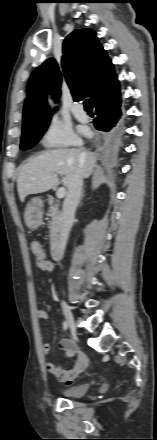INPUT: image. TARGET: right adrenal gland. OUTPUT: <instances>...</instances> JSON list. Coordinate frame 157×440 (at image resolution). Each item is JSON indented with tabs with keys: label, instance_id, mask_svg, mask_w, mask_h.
I'll list each match as a JSON object with an SVG mask.
<instances>
[{
	"label": "right adrenal gland",
	"instance_id": "right-adrenal-gland-1",
	"mask_svg": "<svg viewBox=\"0 0 157 440\" xmlns=\"http://www.w3.org/2000/svg\"><path fill=\"white\" fill-rule=\"evenodd\" d=\"M83 196H84V187L82 188V191H81V195H80V199H79V204H81Z\"/></svg>",
	"mask_w": 157,
	"mask_h": 440
}]
</instances>
